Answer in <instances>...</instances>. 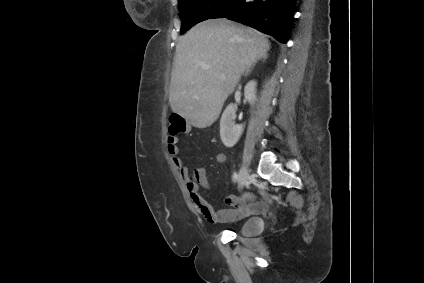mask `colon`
Returning a JSON list of instances; mask_svg holds the SVG:
<instances>
[{
	"instance_id": "colon-1",
	"label": "colon",
	"mask_w": 424,
	"mask_h": 283,
	"mask_svg": "<svg viewBox=\"0 0 424 283\" xmlns=\"http://www.w3.org/2000/svg\"><path fill=\"white\" fill-rule=\"evenodd\" d=\"M187 129L185 119L177 114L172 113L168 118V131L171 135H178L184 133Z\"/></svg>"
}]
</instances>
